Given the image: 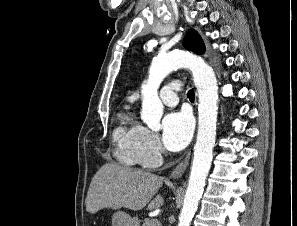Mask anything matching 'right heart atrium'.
I'll use <instances>...</instances> for the list:
<instances>
[{
  "label": "right heart atrium",
  "mask_w": 297,
  "mask_h": 226,
  "mask_svg": "<svg viewBox=\"0 0 297 226\" xmlns=\"http://www.w3.org/2000/svg\"><path fill=\"white\" fill-rule=\"evenodd\" d=\"M163 150L157 135L148 128L136 127V161L144 167H155L160 163Z\"/></svg>",
  "instance_id": "obj_1"
}]
</instances>
